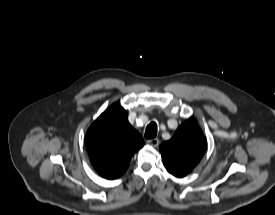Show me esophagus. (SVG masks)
Returning <instances> with one entry per match:
<instances>
[{"mask_svg":"<svg viewBox=\"0 0 275 215\" xmlns=\"http://www.w3.org/2000/svg\"><path fill=\"white\" fill-rule=\"evenodd\" d=\"M146 143L152 147H157L159 145V139L153 138L146 141Z\"/></svg>","mask_w":275,"mask_h":215,"instance_id":"esophagus-1","label":"esophagus"}]
</instances>
